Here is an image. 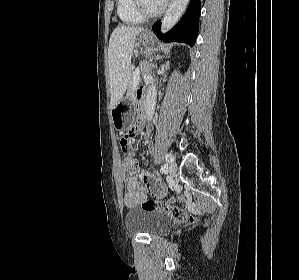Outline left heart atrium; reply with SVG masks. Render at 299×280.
<instances>
[{
	"label": "left heart atrium",
	"instance_id": "39dd6f15",
	"mask_svg": "<svg viewBox=\"0 0 299 280\" xmlns=\"http://www.w3.org/2000/svg\"><path fill=\"white\" fill-rule=\"evenodd\" d=\"M166 0H160L161 3H164Z\"/></svg>",
	"mask_w": 299,
	"mask_h": 280
}]
</instances>
